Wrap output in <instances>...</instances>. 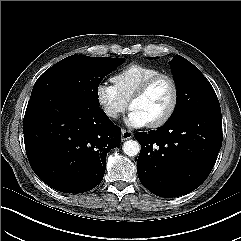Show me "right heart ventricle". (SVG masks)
<instances>
[{
  "label": "right heart ventricle",
  "instance_id": "e07e8e85",
  "mask_svg": "<svg viewBox=\"0 0 241 241\" xmlns=\"http://www.w3.org/2000/svg\"><path fill=\"white\" fill-rule=\"evenodd\" d=\"M159 73H161L160 70L153 66L132 63L115 73L111 80L121 96L127 101L143 82Z\"/></svg>",
  "mask_w": 241,
  "mask_h": 241
}]
</instances>
